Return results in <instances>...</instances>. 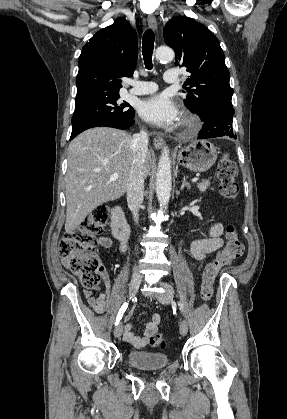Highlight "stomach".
I'll return each mask as SVG.
<instances>
[{
  "label": "stomach",
  "instance_id": "1",
  "mask_svg": "<svg viewBox=\"0 0 287 419\" xmlns=\"http://www.w3.org/2000/svg\"><path fill=\"white\" fill-rule=\"evenodd\" d=\"M217 159L216 147L207 140H196L182 148L177 161L183 167L194 172L209 170Z\"/></svg>",
  "mask_w": 287,
  "mask_h": 419
}]
</instances>
